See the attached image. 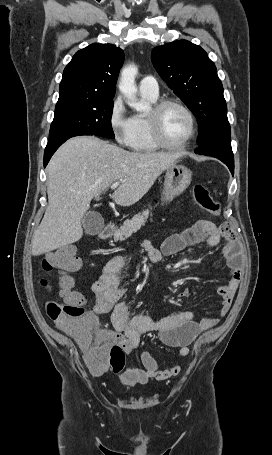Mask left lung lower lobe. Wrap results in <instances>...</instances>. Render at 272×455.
Instances as JSON below:
<instances>
[{"label": "left lung lower lobe", "instance_id": "0a47b994", "mask_svg": "<svg viewBox=\"0 0 272 455\" xmlns=\"http://www.w3.org/2000/svg\"><path fill=\"white\" fill-rule=\"evenodd\" d=\"M197 154L212 156L225 163L234 174V157L231 148V134L212 139L194 151Z\"/></svg>", "mask_w": 272, "mask_h": 455}]
</instances>
